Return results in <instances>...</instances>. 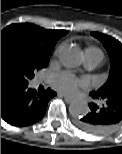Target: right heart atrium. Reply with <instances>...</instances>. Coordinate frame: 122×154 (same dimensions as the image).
<instances>
[{
  "label": "right heart atrium",
  "mask_w": 122,
  "mask_h": 154,
  "mask_svg": "<svg viewBox=\"0 0 122 154\" xmlns=\"http://www.w3.org/2000/svg\"><path fill=\"white\" fill-rule=\"evenodd\" d=\"M60 50H61V47H58V48L55 50V55H58L59 52H60Z\"/></svg>",
  "instance_id": "right-heart-atrium-1"
}]
</instances>
